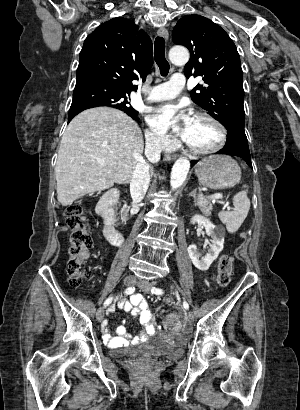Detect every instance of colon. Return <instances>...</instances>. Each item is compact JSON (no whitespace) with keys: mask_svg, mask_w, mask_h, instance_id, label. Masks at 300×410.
<instances>
[{"mask_svg":"<svg viewBox=\"0 0 300 410\" xmlns=\"http://www.w3.org/2000/svg\"><path fill=\"white\" fill-rule=\"evenodd\" d=\"M65 223L69 229V259L66 271L69 284L73 287H78L83 279L90 275L89 269L85 266V260L93 245L89 226L80 204H72L67 208ZM232 273V258L229 254L224 253L220 256L218 263V285L222 288L227 287L231 281ZM177 321V315L171 313L166 319V324L172 326ZM143 368L149 369L150 363L148 361L144 362Z\"/></svg>","mask_w":300,"mask_h":410,"instance_id":"colon-1","label":"colon"}]
</instances>
